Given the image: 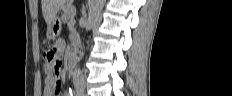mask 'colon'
I'll return each instance as SVG.
<instances>
[{
    "label": "colon",
    "mask_w": 232,
    "mask_h": 96,
    "mask_svg": "<svg viewBox=\"0 0 232 96\" xmlns=\"http://www.w3.org/2000/svg\"><path fill=\"white\" fill-rule=\"evenodd\" d=\"M46 59L50 65V70L53 75H58L62 67V58L60 49L55 46L48 50L46 53Z\"/></svg>",
    "instance_id": "5ec220e1"
}]
</instances>
